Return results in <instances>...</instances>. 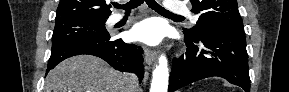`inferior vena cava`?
<instances>
[{"mask_svg": "<svg viewBox=\"0 0 289 92\" xmlns=\"http://www.w3.org/2000/svg\"><path fill=\"white\" fill-rule=\"evenodd\" d=\"M126 80L129 84L130 91L137 89V77L135 74H126Z\"/></svg>", "mask_w": 289, "mask_h": 92, "instance_id": "602c4592", "label": "inferior vena cava"}]
</instances>
